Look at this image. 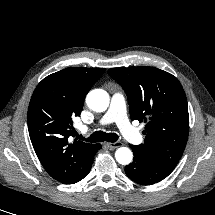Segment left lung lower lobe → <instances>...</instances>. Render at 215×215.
<instances>
[{"label":"left lung lower lobe","instance_id":"1","mask_svg":"<svg viewBox=\"0 0 215 215\" xmlns=\"http://www.w3.org/2000/svg\"><path fill=\"white\" fill-rule=\"evenodd\" d=\"M134 153L133 162L125 167L127 176L142 185H151L166 178L173 169L152 159L140 147L129 145Z\"/></svg>","mask_w":215,"mask_h":215}]
</instances>
